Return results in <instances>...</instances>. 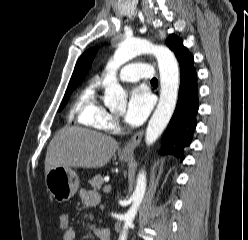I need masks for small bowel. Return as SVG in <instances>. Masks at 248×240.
<instances>
[{"mask_svg": "<svg viewBox=\"0 0 248 240\" xmlns=\"http://www.w3.org/2000/svg\"><path fill=\"white\" fill-rule=\"evenodd\" d=\"M79 195L83 205L86 207L96 206L101 201L100 195L91 190L81 189ZM75 239H76V231L73 227H69L67 230L63 231L62 240H75Z\"/></svg>", "mask_w": 248, "mask_h": 240, "instance_id": "1", "label": "small bowel"}]
</instances>
